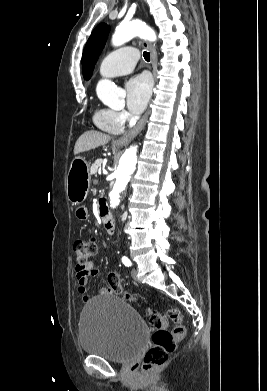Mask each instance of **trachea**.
<instances>
[{"label":"trachea","mask_w":267,"mask_h":391,"mask_svg":"<svg viewBox=\"0 0 267 391\" xmlns=\"http://www.w3.org/2000/svg\"><path fill=\"white\" fill-rule=\"evenodd\" d=\"M143 56H144V59H145L147 62L150 61V53L144 51V52H143Z\"/></svg>","instance_id":"obj_1"}]
</instances>
